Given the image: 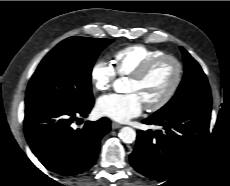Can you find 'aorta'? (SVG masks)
<instances>
[{
  "mask_svg": "<svg viewBox=\"0 0 230 186\" xmlns=\"http://www.w3.org/2000/svg\"><path fill=\"white\" fill-rule=\"evenodd\" d=\"M121 85H122V82L120 80H117L115 83V90L119 91L120 89L119 86ZM119 137L124 143H132L136 139V132L131 127H123L120 130Z\"/></svg>",
  "mask_w": 230,
  "mask_h": 186,
  "instance_id": "1",
  "label": "aorta"
}]
</instances>
